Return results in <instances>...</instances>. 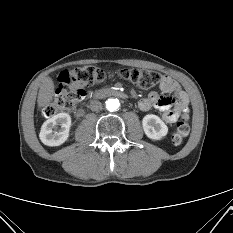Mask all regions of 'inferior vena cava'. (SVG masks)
<instances>
[{"label":"inferior vena cava","instance_id":"602c4592","mask_svg":"<svg viewBox=\"0 0 233 233\" xmlns=\"http://www.w3.org/2000/svg\"><path fill=\"white\" fill-rule=\"evenodd\" d=\"M89 107L92 111H100L102 109V103L100 101L93 100L90 102Z\"/></svg>","mask_w":233,"mask_h":233}]
</instances>
